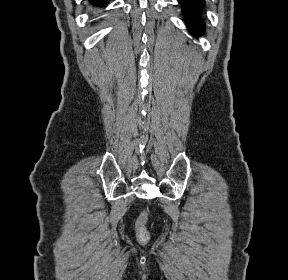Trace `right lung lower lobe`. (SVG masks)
<instances>
[{
    "label": "right lung lower lobe",
    "mask_w": 288,
    "mask_h": 280,
    "mask_svg": "<svg viewBox=\"0 0 288 280\" xmlns=\"http://www.w3.org/2000/svg\"><path fill=\"white\" fill-rule=\"evenodd\" d=\"M93 4H96V5H100V6H103L105 5L108 0H90Z\"/></svg>",
    "instance_id": "obj_1"
}]
</instances>
